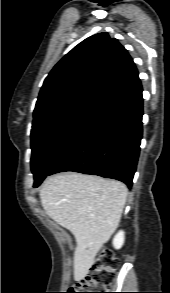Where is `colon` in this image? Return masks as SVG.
I'll return each instance as SVG.
<instances>
[{
	"label": "colon",
	"mask_w": 170,
	"mask_h": 293,
	"mask_svg": "<svg viewBox=\"0 0 170 293\" xmlns=\"http://www.w3.org/2000/svg\"><path fill=\"white\" fill-rule=\"evenodd\" d=\"M118 265L113 251L101 249L92 263L86 277L77 282L70 290L72 293H106L114 281L115 267Z\"/></svg>",
	"instance_id": "obj_1"
}]
</instances>
